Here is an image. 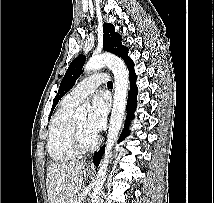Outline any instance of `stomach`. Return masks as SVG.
Here are the masks:
<instances>
[{"label": "stomach", "instance_id": "stomach-1", "mask_svg": "<svg viewBox=\"0 0 214 203\" xmlns=\"http://www.w3.org/2000/svg\"><path fill=\"white\" fill-rule=\"evenodd\" d=\"M87 172H88V174H91V173H92V171H91V170H87Z\"/></svg>", "mask_w": 214, "mask_h": 203}]
</instances>
